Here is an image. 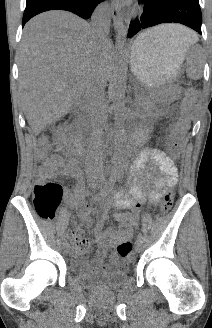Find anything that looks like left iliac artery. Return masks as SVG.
Returning <instances> with one entry per match:
<instances>
[{
	"instance_id": "44dca946",
	"label": "left iliac artery",
	"mask_w": 212,
	"mask_h": 328,
	"mask_svg": "<svg viewBox=\"0 0 212 328\" xmlns=\"http://www.w3.org/2000/svg\"><path fill=\"white\" fill-rule=\"evenodd\" d=\"M137 240L143 241V235L141 233H138Z\"/></svg>"
}]
</instances>
